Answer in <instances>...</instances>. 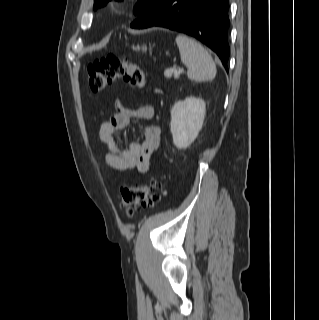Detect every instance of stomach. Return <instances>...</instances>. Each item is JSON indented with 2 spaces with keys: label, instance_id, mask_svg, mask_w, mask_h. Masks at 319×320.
<instances>
[{
  "label": "stomach",
  "instance_id": "stomach-1",
  "mask_svg": "<svg viewBox=\"0 0 319 320\" xmlns=\"http://www.w3.org/2000/svg\"><path fill=\"white\" fill-rule=\"evenodd\" d=\"M133 49H136V50H140V49H142L143 51H146V50H147L146 46H142V47H140L139 45H137L136 47H135V46H133Z\"/></svg>",
  "mask_w": 319,
  "mask_h": 320
}]
</instances>
